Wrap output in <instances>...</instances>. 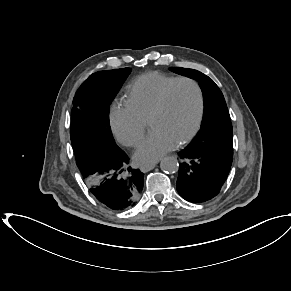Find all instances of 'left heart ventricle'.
I'll return each instance as SVG.
<instances>
[{
  "label": "left heart ventricle",
  "instance_id": "1",
  "mask_svg": "<svg viewBox=\"0 0 291 291\" xmlns=\"http://www.w3.org/2000/svg\"><path fill=\"white\" fill-rule=\"evenodd\" d=\"M198 115V97L194 87L186 82L171 91L165 111L151 123L152 131H161L178 142L195 125Z\"/></svg>",
  "mask_w": 291,
  "mask_h": 291
}]
</instances>
